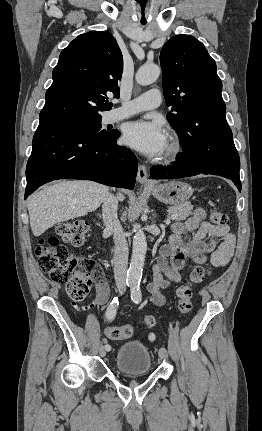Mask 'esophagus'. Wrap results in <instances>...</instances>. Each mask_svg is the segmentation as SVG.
Listing matches in <instances>:
<instances>
[{"mask_svg": "<svg viewBox=\"0 0 262 431\" xmlns=\"http://www.w3.org/2000/svg\"><path fill=\"white\" fill-rule=\"evenodd\" d=\"M137 180L142 186H153L154 183L148 177V169L145 165H139Z\"/></svg>", "mask_w": 262, "mask_h": 431, "instance_id": "esophagus-1", "label": "esophagus"}]
</instances>
